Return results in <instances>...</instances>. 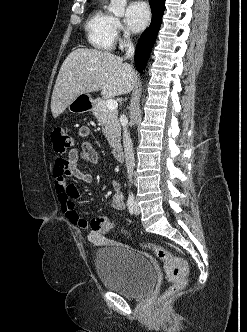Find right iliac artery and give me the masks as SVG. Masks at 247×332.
<instances>
[{
  "label": "right iliac artery",
  "mask_w": 247,
  "mask_h": 332,
  "mask_svg": "<svg viewBox=\"0 0 247 332\" xmlns=\"http://www.w3.org/2000/svg\"><path fill=\"white\" fill-rule=\"evenodd\" d=\"M133 205H134V196L133 194H130L127 200V207L131 212L133 211Z\"/></svg>",
  "instance_id": "obj_1"
}]
</instances>
